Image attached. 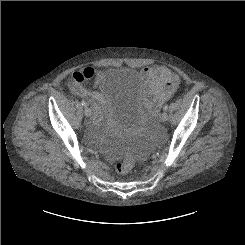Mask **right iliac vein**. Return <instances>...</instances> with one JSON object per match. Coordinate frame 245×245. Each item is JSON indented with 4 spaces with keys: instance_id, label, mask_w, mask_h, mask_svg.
Wrapping results in <instances>:
<instances>
[{
    "instance_id": "right-iliac-vein-1",
    "label": "right iliac vein",
    "mask_w": 245,
    "mask_h": 245,
    "mask_svg": "<svg viewBox=\"0 0 245 245\" xmlns=\"http://www.w3.org/2000/svg\"><path fill=\"white\" fill-rule=\"evenodd\" d=\"M84 113L87 117L91 116V110L90 108L86 107L85 110H84Z\"/></svg>"
}]
</instances>
